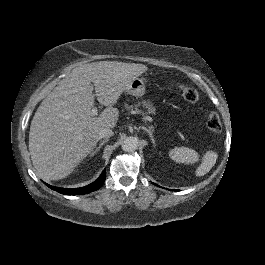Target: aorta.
I'll list each match as a JSON object with an SVG mask.
<instances>
[{"instance_id": "1", "label": "aorta", "mask_w": 265, "mask_h": 265, "mask_svg": "<svg viewBox=\"0 0 265 265\" xmlns=\"http://www.w3.org/2000/svg\"><path fill=\"white\" fill-rule=\"evenodd\" d=\"M138 148V140L136 137H127L122 141V149L125 152H134Z\"/></svg>"}]
</instances>
